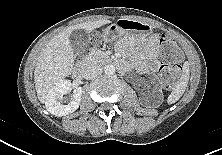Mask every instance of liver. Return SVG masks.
Instances as JSON below:
<instances>
[{
	"instance_id": "1",
	"label": "liver",
	"mask_w": 222,
	"mask_h": 155,
	"mask_svg": "<svg viewBox=\"0 0 222 155\" xmlns=\"http://www.w3.org/2000/svg\"><path fill=\"white\" fill-rule=\"evenodd\" d=\"M109 23L110 20L107 19L80 23L66 28L46 44L34 70L35 88L41 103L46 102L50 89L73 71L74 52L70 44L71 33L77 29L91 31Z\"/></svg>"
}]
</instances>
